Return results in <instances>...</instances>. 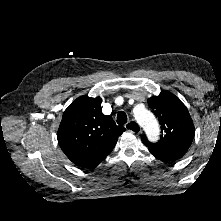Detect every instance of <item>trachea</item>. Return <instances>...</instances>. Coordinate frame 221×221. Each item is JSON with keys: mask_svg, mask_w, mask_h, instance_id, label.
I'll return each mask as SVG.
<instances>
[{"mask_svg": "<svg viewBox=\"0 0 221 221\" xmlns=\"http://www.w3.org/2000/svg\"><path fill=\"white\" fill-rule=\"evenodd\" d=\"M117 123L123 125L127 123V115L124 111H120L117 115Z\"/></svg>", "mask_w": 221, "mask_h": 221, "instance_id": "1", "label": "trachea"}]
</instances>
